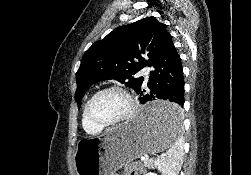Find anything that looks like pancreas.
Returning <instances> with one entry per match:
<instances>
[{
	"instance_id": "1",
	"label": "pancreas",
	"mask_w": 251,
	"mask_h": 175,
	"mask_svg": "<svg viewBox=\"0 0 251 175\" xmlns=\"http://www.w3.org/2000/svg\"><path fill=\"white\" fill-rule=\"evenodd\" d=\"M143 165H146V167H151L154 163V159H142Z\"/></svg>"
}]
</instances>
